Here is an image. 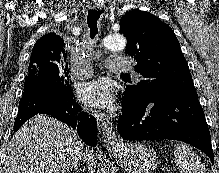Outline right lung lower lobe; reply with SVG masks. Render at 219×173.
<instances>
[{
    "label": "right lung lower lobe",
    "instance_id": "1",
    "mask_svg": "<svg viewBox=\"0 0 219 173\" xmlns=\"http://www.w3.org/2000/svg\"><path fill=\"white\" fill-rule=\"evenodd\" d=\"M48 114L77 129L80 138L89 146L97 144V125L92 115L81 110L72 92L64 93L53 81L41 79L27 90L19 102L14 123L16 132L36 114Z\"/></svg>",
    "mask_w": 219,
    "mask_h": 173
}]
</instances>
